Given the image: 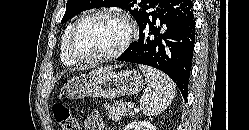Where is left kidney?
Masks as SVG:
<instances>
[{
	"label": "left kidney",
	"instance_id": "obj_1",
	"mask_svg": "<svg viewBox=\"0 0 249 130\" xmlns=\"http://www.w3.org/2000/svg\"><path fill=\"white\" fill-rule=\"evenodd\" d=\"M124 130H155V127L148 121L129 123Z\"/></svg>",
	"mask_w": 249,
	"mask_h": 130
}]
</instances>
